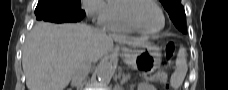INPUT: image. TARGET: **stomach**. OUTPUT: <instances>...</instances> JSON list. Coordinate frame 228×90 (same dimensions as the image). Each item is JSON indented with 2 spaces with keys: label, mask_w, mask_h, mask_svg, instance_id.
<instances>
[{
  "label": "stomach",
  "mask_w": 228,
  "mask_h": 90,
  "mask_svg": "<svg viewBox=\"0 0 228 90\" xmlns=\"http://www.w3.org/2000/svg\"><path fill=\"white\" fill-rule=\"evenodd\" d=\"M125 61L132 67L152 72L161 64V50L151 42H146L142 49L135 50L125 56Z\"/></svg>",
  "instance_id": "1"
}]
</instances>
